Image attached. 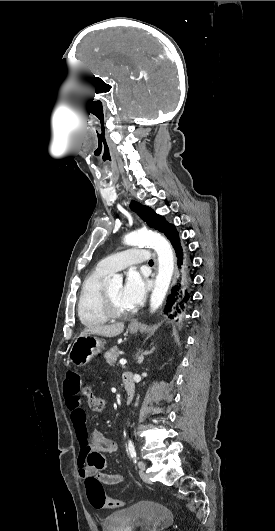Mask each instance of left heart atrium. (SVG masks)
I'll list each match as a JSON object with an SVG mask.
<instances>
[{
    "label": "left heart atrium",
    "mask_w": 275,
    "mask_h": 531,
    "mask_svg": "<svg viewBox=\"0 0 275 531\" xmlns=\"http://www.w3.org/2000/svg\"><path fill=\"white\" fill-rule=\"evenodd\" d=\"M147 277L138 269L126 272L121 297L129 308H135L142 302L146 291Z\"/></svg>",
    "instance_id": "39dd6f15"
}]
</instances>
